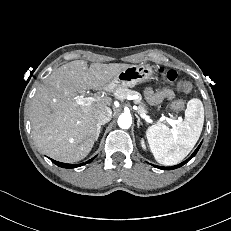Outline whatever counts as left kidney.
<instances>
[{
    "label": "left kidney",
    "mask_w": 231,
    "mask_h": 231,
    "mask_svg": "<svg viewBox=\"0 0 231 231\" xmlns=\"http://www.w3.org/2000/svg\"><path fill=\"white\" fill-rule=\"evenodd\" d=\"M141 146H142V148L145 150L146 149V145H145V142H144V140L142 139V141H141Z\"/></svg>",
    "instance_id": "left-kidney-1"
}]
</instances>
